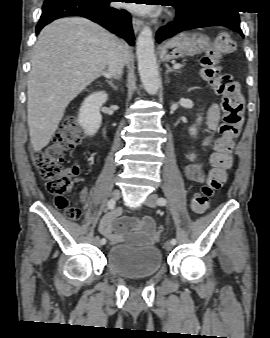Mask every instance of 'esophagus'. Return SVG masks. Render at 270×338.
Instances as JSON below:
<instances>
[{
	"label": "esophagus",
	"mask_w": 270,
	"mask_h": 338,
	"mask_svg": "<svg viewBox=\"0 0 270 338\" xmlns=\"http://www.w3.org/2000/svg\"><path fill=\"white\" fill-rule=\"evenodd\" d=\"M132 25L135 33H138L143 26V21L139 18L132 17Z\"/></svg>",
	"instance_id": "obj_1"
}]
</instances>
